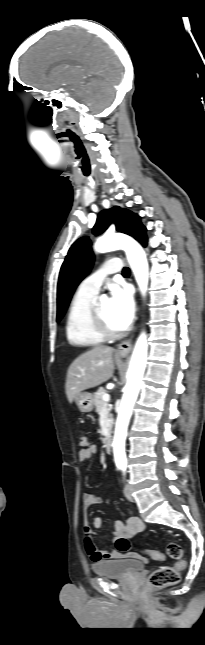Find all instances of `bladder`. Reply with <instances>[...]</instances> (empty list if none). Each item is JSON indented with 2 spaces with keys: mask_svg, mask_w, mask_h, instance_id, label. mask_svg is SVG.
Segmentation results:
<instances>
[{
  "mask_svg": "<svg viewBox=\"0 0 205 645\" xmlns=\"http://www.w3.org/2000/svg\"><path fill=\"white\" fill-rule=\"evenodd\" d=\"M145 567L143 561L133 558L103 560L92 565V570L100 576L112 578H128Z\"/></svg>",
  "mask_w": 205,
  "mask_h": 645,
  "instance_id": "1",
  "label": "bladder"
}]
</instances>
